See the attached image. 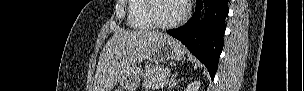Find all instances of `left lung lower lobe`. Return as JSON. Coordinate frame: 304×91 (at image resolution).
Wrapping results in <instances>:
<instances>
[{
  "mask_svg": "<svg viewBox=\"0 0 304 91\" xmlns=\"http://www.w3.org/2000/svg\"><path fill=\"white\" fill-rule=\"evenodd\" d=\"M206 15L201 25L199 20L202 2L196 0L195 13L184 26L168 31L181 41L207 67L211 79L214 78L220 54L223 49V35L228 15V0H205Z\"/></svg>",
  "mask_w": 304,
  "mask_h": 91,
  "instance_id": "1",
  "label": "left lung lower lobe"
}]
</instances>
